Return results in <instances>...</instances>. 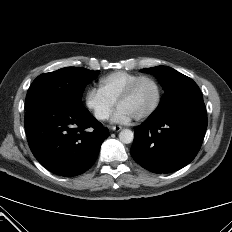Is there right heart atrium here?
Masks as SVG:
<instances>
[{"label": "right heart atrium", "mask_w": 232, "mask_h": 232, "mask_svg": "<svg viewBox=\"0 0 232 232\" xmlns=\"http://www.w3.org/2000/svg\"><path fill=\"white\" fill-rule=\"evenodd\" d=\"M84 104L91 115L100 122L106 121L110 117L115 106L99 89L94 87L85 92Z\"/></svg>", "instance_id": "obj_1"}]
</instances>
